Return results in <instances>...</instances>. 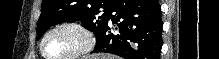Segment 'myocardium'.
Here are the masks:
<instances>
[{
	"label": "myocardium",
	"instance_id": "myocardium-1",
	"mask_svg": "<svg viewBox=\"0 0 219 59\" xmlns=\"http://www.w3.org/2000/svg\"><path fill=\"white\" fill-rule=\"evenodd\" d=\"M61 29L75 30L82 36L83 43L78 50L67 56L51 57L48 54H46L44 50L45 41L50 34ZM94 45H95L94 35L85 25L77 21H65L53 26L48 31H46L40 41L39 47H40V52L45 59H77L81 56L88 54L93 49Z\"/></svg>",
	"mask_w": 219,
	"mask_h": 59
}]
</instances>
